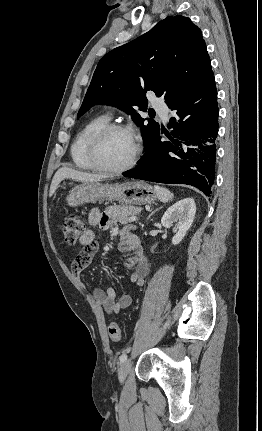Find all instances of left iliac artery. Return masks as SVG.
<instances>
[{
    "label": "left iliac artery",
    "mask_w": 262,
    "mask_h": 431,
    "mask_svg": "<svg viewBox=\"0 0 262 431\" xmlns=\"http://www.w3.org/2000/svg\"><path fill=\"white\" fill-rule=\"evenodd\" d=\"M169 321H167L164 325V328H166V326H168ZM127 359V355L124 353L120 356V362L123 363L125 360Z\"/></svg>",
    "instance_id": "1"
}]
</instances>
